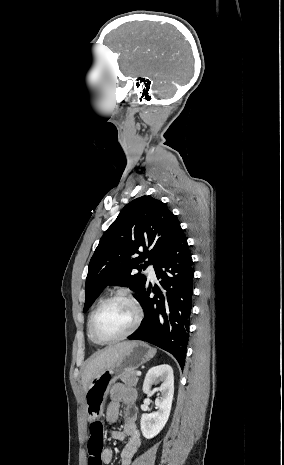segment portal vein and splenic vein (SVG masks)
Masks as SVG:
<instances>
[{
  "instance_id": "obj_1",
  "label": "portal vein and splenic vein",
  "mask_w": 284,
  "mask_h": 465,
  "mask_svg": "<svg viewBox=\"0 0 284 465\" xmlns=\"http://www.w3.org/2000/svg\"><path fill=\"white\" fill-rule=\"evenodd\" d=\"M136 375H141V371H137Z\"/></svg>"
}]
</instances>
